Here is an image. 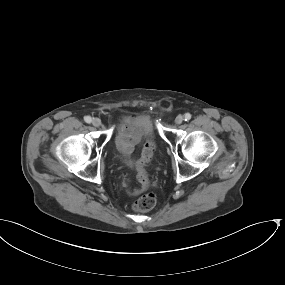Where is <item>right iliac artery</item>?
Masks as SVG:
<instances>
[{
  "label": "right iliac artery",
  "mask_w": 285,
  "mask_h": 285,
  "mask_svg": "<svg viewBox=\"0 0 285 285\" xmlns=\"http://www.w3.org/2000/svg\"><path fill=\"white\" fill-rule=\"evenodd\" d=\"M84 120H85L86 123H91L92 118L90 116H85Z\"/></svg>",
  "instance_id": "right-iliac-artery-1"
}]
</instances>
